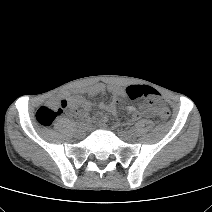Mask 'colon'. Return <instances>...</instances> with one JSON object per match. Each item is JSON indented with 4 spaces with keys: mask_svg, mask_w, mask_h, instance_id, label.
Returning a JSON list of instances; mask_svg holds the SVG:
<instances>
[{
    "mask_svg": "<svg viewBox=\"0 0 212 212\" xmlns=\"http://www.w3.org/2000/svg\"><path fill=\"white\" fill-rule=\"evenodd\" d=\"M126 92L130 99H143L158 108L159 115L163 120L170 118V110L163 106L162 97L154 88L144 85H132L126 89ZM65 109H67L66 100H50L38 108L35 114L36 121L43 127H49Z\"/></svg>",
    "mask_w": 212,
    "mask_h": 212,
    "instance_id": "colon-1",
    "label": "colon"
}]
</instances>
